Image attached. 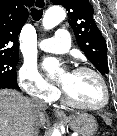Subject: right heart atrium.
I'll use <instances>...</instances> for the list:
<instances>
[{
  "label": "right heart atrium",
  "mask_w": 117,
  "mask_h": 136,
  "mask_svg": "<svg viewBox=\"0 0 117 136\" xmlns=\"http://www.w3.org/2000/svg\"><path fill=\"white\" fill-rule=\"evenodd\" d=\"M22 90L29 96L51 102L57 97V90L39 72L33 62L26 61L19 71Z\"/></svg>",
  "instance_id": "right-heart-atrium-1"
}]
</instances>
